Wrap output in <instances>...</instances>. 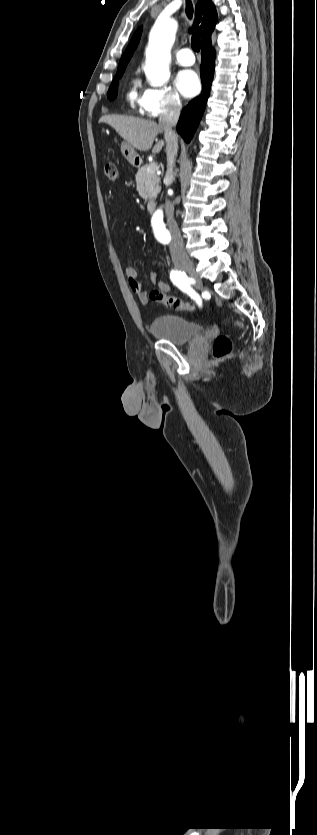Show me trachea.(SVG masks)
Returning a JSON list of instances; mask_svg holds the SVG:
<instances>
[{"mask_svg": "<svg viewBox=\"0 0 317 835\" xmlns=\"http://www.w3.org/2000/svg\"><path fill=\"white\" fill-rule=\"evenodd\" d=\"M186 13H187L188 18L191 19L192 14H193V7H192V3H191L190 0H186ZM200 44H201V42H200L199 37L197 35H193L191 37V45H192L193 50L196 51V52H199Z\"/></svg>", "mask_w": 317, "mask_h": 835, "instance_id": "obj_1", "label": "trachea"}]
</instances>
